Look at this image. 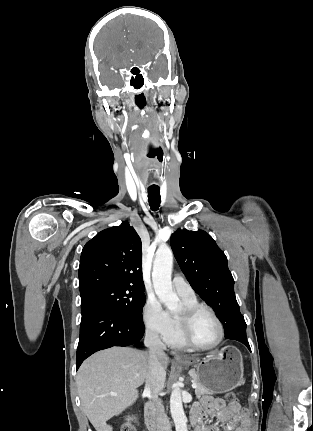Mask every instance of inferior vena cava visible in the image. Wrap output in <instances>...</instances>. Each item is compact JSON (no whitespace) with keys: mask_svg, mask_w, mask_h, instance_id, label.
<instances>
[{"mask_svg":"<svg viewBox=\"0 0 313 431\" xmlns=\"http://www.w3.org/2000/svg\"><path fill=\"white\" fill-rule=\"evenodd\" d=\"M144 344L149 349L150 357L145 390L151 395L149 405L156 416L157 431H171L164 406L158 397V394L164 388L166 380L165 368L161 363V359L165 355L166 346L160 340L158 334L149 329L146 330Z\"/></svg>","mask_w":313,"mask_h":431,"instance_id":"1","label":"inferior vena cava"}]
</instances>
